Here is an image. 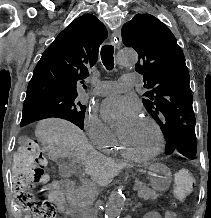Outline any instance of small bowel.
<instances>
[{"instance_id": "obj_1", "label": "small bowel", "mask_w": 211, "mask_h": 218, "mask_svg": "<svg viewBox=\"0 0 211 218\" xmlns=\"http://www.w3.org/2000/svg\"><path fill=\"white\" fill-rule=\"evenodd\" d=\"M44 191L48 192L47 199L56 206L60 213H69L67 205L63 196V192L60 189L58 181H52L47 184ZM144 218H176V215L172 211H167L161 216L160 213L156 211L148 212Z\"/></svg>"}]
</instances>
